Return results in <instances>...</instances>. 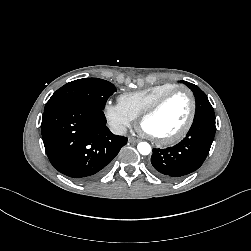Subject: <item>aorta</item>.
<instances>
[{
	"mask_svg": "<svg viewBox=\"0 0 251 251\" xmlns=\"http://www.w3.org/2000/svg\"><path fill=\"white\" fill-rule=\"evenodd\" d=\"M137 149H138L139 153L142 155H148L151 152V146L147 142L138 143Z\"/></svg>",
	"mask_w": 251,
	"mask_h": 251,
	"instance_id": "1",
	"label": "aorta"
}]
</instances>
